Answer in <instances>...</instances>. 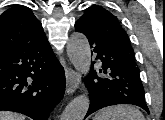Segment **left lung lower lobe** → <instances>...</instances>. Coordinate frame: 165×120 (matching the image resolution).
Listing matches in <instances>:
<instances>
[{"instance_id":"0a47b994","label":"left lung lower lobe","mask_w":165,"mask_h":120,"mask_svg":"<svg viewBox=\"0 0 165 120\" xmlns=\"http://www.w3.org/2000/svg\"><path fill=\"white\" fill-rule=\"evenodd\" d=\"M75 31L83 33L95 54L100 69L92 70L85 79L90 93V106L85 117L110 105L133 104L149 113L145 103L144 88L135 60L125 52L90 31L77 20ZM95 61L92 63V66Z\"/></svg>"}]
</instances>
